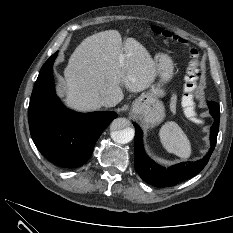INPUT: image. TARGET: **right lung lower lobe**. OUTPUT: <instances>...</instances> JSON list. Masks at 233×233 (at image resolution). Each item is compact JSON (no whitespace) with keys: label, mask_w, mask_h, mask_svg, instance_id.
Instances as JSON below:
<instances>
[{"label":"right lung lower lobe","mask_w":233,"mask_h":233,"mask_svg":"<svg viewBox=\"0 0 233 233\" xmlns=\"http://www.w3.org/2000/svg\"><path fill=\"white\" fill-rule=\"evenodd\" d=\"M53 54L35 82L28 108L30 133L38 150L52 163L64 167L82 166L91 156L115 112L76 113L65 108L55 95Z\"/></svg>","instance_id":"right-lung-lower-lobe-1"}]
</instances>
